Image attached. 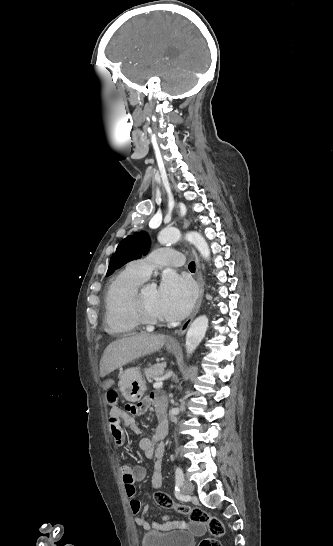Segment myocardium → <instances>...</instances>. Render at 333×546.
Returning a JSON list of instances; mask_svg holds the SVG:
<instances>
[{
    "label": "myocardium",
    "instance_id": "myocardium-1",
    "mask_svg": "<svg viewBox=\"0 0 333 546\" xmlns=\"http://www.w3.org/2000/svg\"><path fill=\"white\" fill-rule=\"evenodd\" d=\"M144 286H139L132 295L131 298V308L137 317V319L142 323L150 326L161 325L163 319L152 315L144 306L142 293Z\"/></svg>",
    "mask_w": 333,
    "mask_h": 546
}]
</instances>
